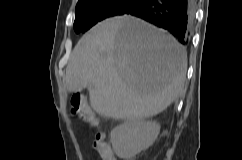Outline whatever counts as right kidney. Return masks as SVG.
<instances>
[{
	"mask_svg": "<svg viewBox=\"0 0 242 160\" xmlns=\"http://www.w3.org/2000/svg\"><path fill=\"white\" fill-rule=\"evenodd\" d=\"M160 132L155 121H126L115 127L110 134L115 154L123 159H131L153 144Z\"/></svg>",
	"mask_w": 242,
	"mask_h": 160,
	"instance_id": "1",
	"label": "right kidney"
}]
</instances>
